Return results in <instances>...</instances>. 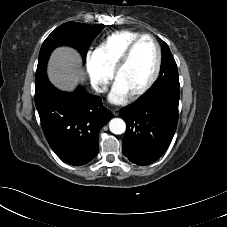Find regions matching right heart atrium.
<instances>
[{"instance_id": "1", "label": "right heart atrium", "mask_w": 227, "mask_h": 227, "mask_svg": "<svg viewBox=\"0 0 227 227\" xmlns=\"http://www.w3.org/2000/svg\"><path fill=\"white\" fill-rule=\"evenodd\" d=\"M85 68L91 87L98 93L104 92L111 80V72L100 63L92 52L87 53L85 57Z\"/></svg>"}]
</instances>
